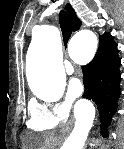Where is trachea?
<instances>
[{
  "instance_id": "1",
  "label": "trachea",
  "mask_w": 124,
  "mask_h": 149,
  "mask_svg": "<svg viewBox=\"0 0 124 149\" xmlns=\"http://www.w3.org/2000/svg\"><path fill=\"white\" fill-rule=\"evenodd\" d=\"M59 21L64 42H67L72 34V24L68 14L63 10L60 11Z\"/></svg>"
}]
</instances>
